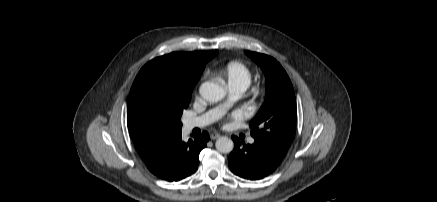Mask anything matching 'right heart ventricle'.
Wrapping results in <instances>:
<instances>
[{"label": "right heart ventricle", "mask_w": 437, "mask_h": 202, "mask_svg": "<svg viewBox=\"0 0 437 202\" xmlns=\"http://www.w3.org/2000/svg\"><path fill=\"white\" fill-rule=\"evenodd\" d=\"M220 73L226 78L230 87L247 88L252 79V74L247 65L241 61H230L221 70Z\"/></svg>", "instance_id": "e07e8e85"}]
</instances>
